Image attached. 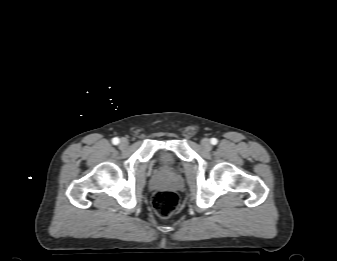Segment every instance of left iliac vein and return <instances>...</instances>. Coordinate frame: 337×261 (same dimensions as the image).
I'll return each mask as SVG.
<instances>
[{"instance_id": "left-iliac-vein-1", "label": "left iliac vein", "mask_w": 337, "mask_h": 261, "mask_svg": "<svg viewBox=\"0 0 337 261\" xmlns=\"http://www.w3.org/2000/svg\"><path fill=\"white\" fill-rule=\"evenodd\" d=\"M201 145L203 146L205 150H208V151L211 150L212 148L210 140L208 138L202 139Z\"/></svg>"}]
</instances>
